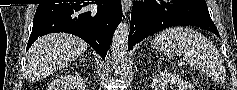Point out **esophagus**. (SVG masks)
Listing matches in <instances>:
<instances>
[{
	"instance_id": "1",
	"label": "esophagus",
	"mask_w": 237,
	"mask_h": 90,
	"mask_svg": "<svg viewBox=\"0 0 237 90\" xmlns=\"http://www.w3.org/2000/svg\"><path fill=\"white\" fill-rule=\"evenodd\" d=\"M131 6L132 0H122V11L124 15L130 10Z\"/></svg>"
}]
</instances>
